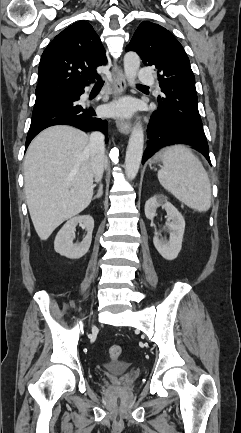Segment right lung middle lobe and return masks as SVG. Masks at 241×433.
Returning a JSON list of instances; mask_svg holds the SVG:
<instances>
[{
	"mask_svg": "<svg viewBox=\"0 0 241 433\" xmlns=\"http://www.w3.org/2000/svg\"><path fill=\"white\" fill-rule=\"evenodd\" d=\"M71 98H72L71 92H57V93H50L41 96H36V101L33 108L32 116L48 109L49 107L66 102Z\"/></svg>",
	"mask_w": 241,
	"mask_h": 433,
	"instance_id": "dd1d6c3e",
	"label": "right lung middle lobe"
}]
</instances>
